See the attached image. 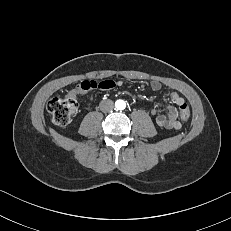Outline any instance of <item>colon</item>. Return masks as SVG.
Instances as JSON below:
<instances>
[{
    "label": "colon",
    "mask_w": 231,
    "mask_h": 231,
    "mask_svg": "<svg viewBox=\"0 0 231 231\" xmlns=\"http://www.w3.org/2000/svg\"><path fill=\"white\" fill-rule=\"evenodd\" d=\"M78 108V94L71 92L52 98L47 104V110L55 125L65 126L70 123ZM180 117L187 121L190 118V109L187 104L180 109Z\"/></svg>",
    "instance_id": "obj_1"
}]
</instances>
